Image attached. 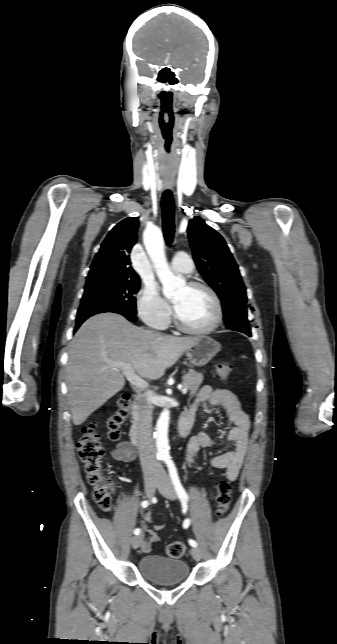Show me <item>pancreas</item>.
Returning <instances> with one entry per match:
<instances>
[{
  "label": "pancreas",
  "mask_w": 337,
  "mask_h": 644,
  "mask_svg": "<svg viewBox=\"0 0 337 644\" xmlns=\"http://www.w3.org/2000/svg\"><path fill=\"white\" fill-rule=\"evenodd\" d=\"M202 381H203L202 373H198L195 370L191 369L183 377V387H186L187 390L192 395L198 390Z\"/></svg>",
  "instance_id": "cf45deb5"
}]
</instances>
